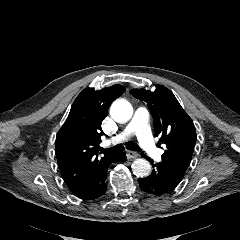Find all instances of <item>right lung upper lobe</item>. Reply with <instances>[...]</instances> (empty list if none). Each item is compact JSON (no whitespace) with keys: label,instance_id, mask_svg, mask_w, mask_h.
<instances>
[{"label":"right lung upper lobe","instance_id":"right-lung-upper-lobe-1","mask_svg":"<svg viewBox=\"0 0 240 240\" xmlns=\"http://www.w3.org/2000/svg\"><path fill=\"white\" fill-rule=\"evenodd\" d=\"M124 91L121 85L100 91L86 88L71 106L67 120L57 133L55 148L59 169L70 191L77 189L110 158L98 156L97 144L105 135L101 123L111 102Z\"/></svg>","mask_w":240,"mask_h":240}]
</instances>
